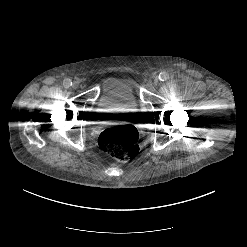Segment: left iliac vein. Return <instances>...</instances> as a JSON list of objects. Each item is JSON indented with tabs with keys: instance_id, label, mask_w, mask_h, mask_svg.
I'll return each instance as SVG.
<instances>
[{
	"instance_id": "4c4485c4",
	"label": "left iliac vein",
	"mask_w": 247,
	"mask_h": 247,
	"mask_svg": "<svg viewBox=\"0 0 247 247\" xmlns=\"http://www.w3.org/2000/svg\"><path fill=\"white\" fill-rule=\"evenodd\" d=\"M152 84H153V85H157V84H158V79L155 78V79L152 81Z\"/></svg>"
}]
</instances>
